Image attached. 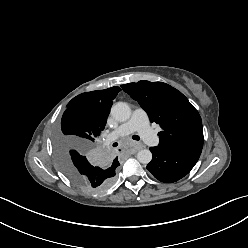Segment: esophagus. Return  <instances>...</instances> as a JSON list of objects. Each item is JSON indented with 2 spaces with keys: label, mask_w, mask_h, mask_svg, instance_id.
Masks as SVG:
<instances>
[{
  "label": "esophagus",
  "mask_w": 248,
  "mask_h": 248,
  "mask_svg": "<svg viewBox=\"0 0 248 248\" xmlns=\"http://www.w3.org/2000/svg\"><path fill=\"white\" fill-rule=\"evenodd\" d=\"M142 148L141 145H137V146H134V148L132 149L133 152H137L138 150H140Z\"/></svg>",
  "instance_id": "obj_1"
}]
</instances>
